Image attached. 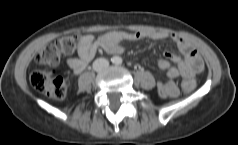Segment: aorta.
Wrapping results in <instances>:
<instances>
[{
	"label": "aorta",
	"mask_w": 238,
	"mask_h": 145,
	"mask_svg": "<svg viewBox=\"0 0 238 145\" xmlns=\"http://www.w3.org/2000/svg\"><path fill=\"white\" fill-rule=\"evenodd\" d=\"M115 63H120L121 62V59L120 58H117L114 60Z\"/></svg>",
	"instance_id": "762f6f07"
}]
</instances>
